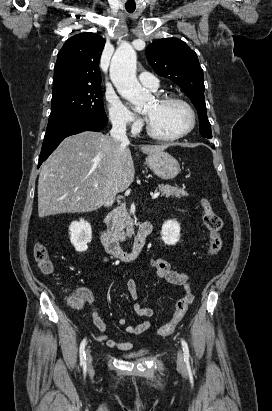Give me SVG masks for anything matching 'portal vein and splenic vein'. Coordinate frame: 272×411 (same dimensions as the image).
Returning <instances> with one entry per match:
<instances>
[{
  "label": "portal vein and splenic vein",
  "mask_w": 272,
  "mask_h": 411,
  "mask_svg": "<svg viewBox=\"0 0 272 411\" xmlns=\"http://www.w3.org/2000/svg\"><path fill=\"white\" fill-rule=\"evenodd\" d=\"M97 186H98V185H95V187H97ZM159 194H160V192H155V193L152 195V199L158 198Z\"/></svg>",
  "instance_id": "1"
}]
</instances>
